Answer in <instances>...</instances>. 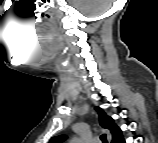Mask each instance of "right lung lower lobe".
Returning <instances> with one entry per match:
<instances>
[{"label":"right lung lower lobe","instance_id":"1","mask_svg":"<svg viewBox=\"0 0 158 143\" xmlns=\"http://www.w3.org/2000/svg\"><path fill=\"white\" fill-rule=\"evenodd\" d=\"M117 143H124V140L122 139V140H120L119 142H117Z\"/></svg>","mask_w":158,"mask_h":143}]
</instances>
